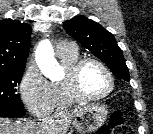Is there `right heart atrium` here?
<instances>
[{
    "label": "right heart atrium",
    "instance_id": "obj_1",
    "mask_svg": "<svg viewBox=\"0 0 153 134\" xmlns=\"http://www.w3.org/2000/svg\"><path fill=\"white\" fill-rule=\"evenodd\" d=\"M20 95L31 115L43 117L51 112V83L42 76L34 64L29 65L22 76Z\"/></svg>",
    "mask_w": 153,
    "mask_h": 134
}]
</instances>
